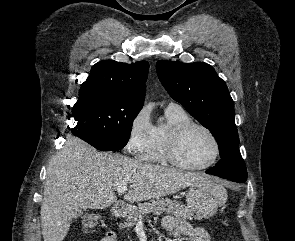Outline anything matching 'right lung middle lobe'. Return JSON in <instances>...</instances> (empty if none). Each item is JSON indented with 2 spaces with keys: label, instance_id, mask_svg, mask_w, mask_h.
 <instances>
[{
  "label": "right lung middle lobe",
  "instance_id": "dd1d6c3e",
  "mask_svg": "<svg viewBox=\"0 0 295 241\" xmlns=\"http://www.w3.org/2000/svg\"><path fill=\"white\" fill-rule=\"evenodd\" d=\"M142 105L93 91L78 99L72 108L75 122L70 130L99 150L116 151L128 142L133 120Z\"/></svg>",
  "mask_w": 295,
  "mask_h": 241
}]
</instances>
